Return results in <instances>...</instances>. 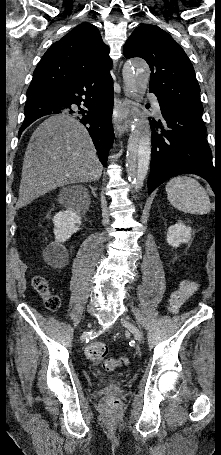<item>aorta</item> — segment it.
<instances>
[{
  "label": "aorta",
  "mask_w": 221,
  "mask_h": 455,
  "mask_svg": "<svg viewBox=\"0 0 221 455\" xmlns=\"http://www.w3.org/2000/svg\"><path fill=\"white\" fill-rule=\"evenodd\" d=\"M123 80L127 91L141 97L148 88L150 69L142 59H130L123 66ZM151 158V133L145 119L134 116L127 145L126 171L135 190L143 186Z\"/></svg>",
  "instance_id": "1"
}]
</instances>
